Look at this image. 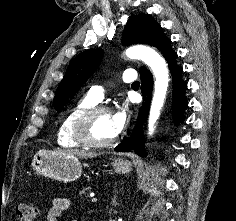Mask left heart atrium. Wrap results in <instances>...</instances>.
Masks as SVG:
<instances>
[{
  "mask_svg": "<svg viewBox=\"0 0 236 221\" xmlns=\"http://www.w3.org/2000/svg\"><path fill=\"white\" fill-rule=\"evenodd\" d=\"M129 122V112L125 107L119 108L112 114V123L114 131L117 134L121 133Z\"/></svg>",
  "mask_w": 236,
  "mask_h": 221,
  "instance_id": "39dd6f15",
  "label": "left heart atrium"
}]
</instances>
